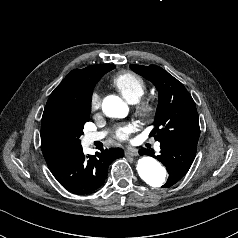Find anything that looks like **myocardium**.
I'll return each instance as SVG.
<instances>
[{
    "mask_svg": "<svg viewBox=\"0 0 238 238\" xmlns=\"http://www.w3.org/2000/svg\"><path fill=\"white\" fill-rule=\"evenodd\" d=\"M157 111V105L153 99H145L135 107V115L141 122H149Z\"/></svg>",
    "mask_w": 238,
    "mask_h": 238,
    "instance_id": "1",
    "label": "myocardium"
}]
</instances>
